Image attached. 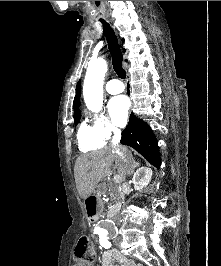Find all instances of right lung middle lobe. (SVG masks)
I'll return each instance as SVG.
<instances>
[{
	"instance_id": "1",
	"label": "right lung middle lobe",
	"mask_w": 221,
	"mask_h": 266,
	"mask_svg": "<svg viewBox=\"0 0 221 266\" xmlns=\"http://www.w3.org/2000/svg\"><path fill=\"white\" fill-rule=\"evenodd\" d=\"M80 117H81V114L74 115L75 124H77L80 121Z\"/></svg>"
}]
</instances>
